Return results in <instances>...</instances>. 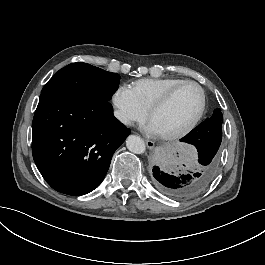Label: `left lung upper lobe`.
<instances>
[{"instance_id":"left-lung-upper-lobe-1","label":"left lung upper lobe","mask_w":265,"mask_h":265,"mask_svg":"<svg viewBox=\"0 0 265 265\" xmlns=\"http://www.w3.org/2000/svg\"><path fill=\"white\" fill-rule=\"evenodd\" d=\"M222 119L223 115L221 113V109L217 108L216 110H214L213 115L204 122L211 124L213 127L217 128L218 130H222Z\"/></svg>"}]
</instances>
